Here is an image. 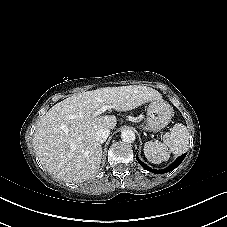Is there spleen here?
Returning <instances> with one entry per match:
<instances>
[{
  "label": "spleen",
  "instance_id": "obj_1",
  "mask_svg": "<svg viewBox=\"0 0 227 227\" xmlns=\"http://www.w3.org/2000/svg\"><path fill=\"white\" fill-rule=\"evenodd\" d=\"M189 147V131L182 123H177L163 135V142L148 141L144 145L147 160L154 164L168 161L171 153L183 154Z\"/></svg>",
  "mask_w": 227,
  "mask_h": 227
}]
</instances>
